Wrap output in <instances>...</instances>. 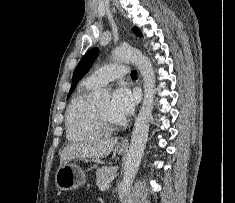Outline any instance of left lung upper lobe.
Wrapping results in <instances>:
<instances>
[{
  "mask_svg": "<svg viewBox=\"0 0 235 203\" xmlns=\"http://www.w3.org/2000/svg\"><path fill=\"white\" fill-rule=\"evenodd\" d=\"M133 31L137 36H142L141 31L137 27H134ZM98 54H99V49L93 48V49L89 50L83 56V58L80 60L79 64L77 65V67L74 71V74H73L72 86L69 91L68 97L73 92L78 81L88 72V70L92 66V64H93L94 60L96 59V57L98 56Z\"/></svg>",
  "mask_w": 235,
  "mask_h": 203,
  "instance_id": "left-lung-upper-lobe-1",
  "label": "left lung upper lobe"
}]
</instances>
